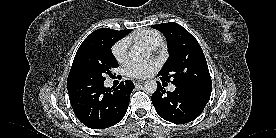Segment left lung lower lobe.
I'll return each instance as SVG.
<instances>
[{
    "instance_id": "left-lung-lower-lobe-1",
    "label": "left lung lower lobe",
    "mask_w": 276,
    "mask_h": 138,
    "mask_svg": "<svg viewBox=\"0 0 276 138\" xmlns=\"http://www.w3.org/2000/svg\"><path fill=\"white\" fill-rule=\"evenodd\" d=\"M158 76H160L158 74ZM161 81H164L160 77ZM151 100L156 112L172 123H187L200 115L208 103L211 90L176 86L175 91H166L161 84Z\"/></svg>"
}]
</instances>
